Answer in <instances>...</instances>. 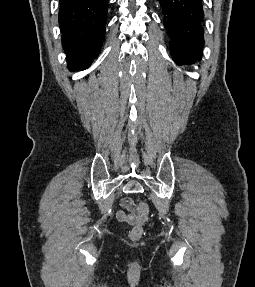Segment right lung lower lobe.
Wrapping results in <instances>:
<instances>
[{
  "label": "right lung lower lobe",
  "mask_w": 255,
  "mask_h": 287,
  "mask_svg": "<svg viewBox=\"0 0 255 287\" xmlns=\"http://www.w3.org/2000/svg\"><path fill=\"white\" fill-rule=\"evenodd\" d=\"M108 0H60L59 25L68 67L86 69L105 35Z\"/></svg>",
  "instance_id": "right-lung-lower-lobe-1"
}]
</instances>
